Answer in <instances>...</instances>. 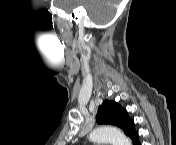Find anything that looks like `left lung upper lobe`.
<instances>
[{"label": "left lung upper lobe", "instance_id": "obj_1", "mask_svg": "<svg viewBox=\"0 0 176 145\" xmlns=\"http://www.w3.org/2000/svg\"><path fill=\"white\" fill-rule=\"evenodd\" d=\"M99 124H109L120 127L125 134L133 139L138 133L134 129V121L128 116L127 111L117 102L105 100L96 116Z\"/></svg>", "mask_w": 176, "mask_h": 145}]
</instances>
